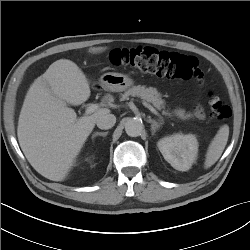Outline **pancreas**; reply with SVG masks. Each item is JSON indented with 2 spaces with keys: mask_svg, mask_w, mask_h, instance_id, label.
I'll return each mask as SVG.
<instances>
[{
  "mask_svg": "<svg viewBox=\"0 0 250 250\" xmlns=\"http://www.w3.org/2000/svg\"><path fill=\"white\" fill-rule=\"evenodd\" d=\"M129 96H138L143 100L151 103L157 110H162L163 115L172 117V113H170L168 110H165V101L162 99V94L159 93L156 88H147L141 85L133 86L122 95L121 99L125 100Z\"/></svg>",
  "mask_w": 250,
  "mask_h": 250,
  "instance_id": "cf45deb5",
  "label": "pancreas"
}]
</instances>
